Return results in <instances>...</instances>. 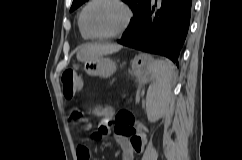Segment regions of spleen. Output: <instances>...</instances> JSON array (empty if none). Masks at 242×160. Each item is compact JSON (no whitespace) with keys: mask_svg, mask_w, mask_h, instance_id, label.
<instances>
[{"mask_svg":"<svg viewBox=\"0 0 242 160\" xmlns=\"http://www.w3.org/2000/svg\"><path fill=\"white\" fill-rule=\"evenodd\" d=\"M149 58V70L154 81L148 89L146 101L157 109L167 107L174 77V66L169 61L154 60L150 56Z\"/></svg>","mask_w":242,"mask_h":160,"instance_id":"3e777b00","label":"spleen"}]
</instances>
